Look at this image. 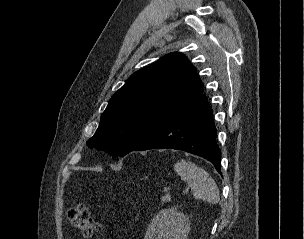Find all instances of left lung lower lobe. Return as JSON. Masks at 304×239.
I'll list each match as a JSON object with an SVG mask.
<instances>
[{
	"label": "left lung lower lobe",
	"mask_w": 304,
	"mask_h": 239,
	"mask_svg": "<svg viewBox=\"0 0 304 239\" xmlns=\"http://www.w3.org/2000/svg\"><path fill=\"white\" fill-rule=\"evenodd\" d=\"M213 111L201 94L132 151L148 149L183 150L209 160L221 174V151L216 144Z\"/></svg>",
	"instance_id": "0a47b994"
}]
</instances>
